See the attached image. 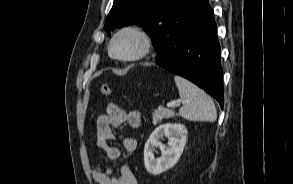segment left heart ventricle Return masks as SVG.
<instances>
[{"instance_id": "b2bd125f", "label": "left heart ventricle", "mask_w": 293, "mask_h": 184, "mask_svg": "<svg viewBox=\"0 0 293 184\" xmlns=\"http://www.w3.org/2000/svg\"><path fill=\"white\" fill-rule=\"evenodd\" d=\"M140 49L139 38L132 33H124L120 35L114 43V51L120 56H130L138 52Z\"/></svg>"}]
</instances>
